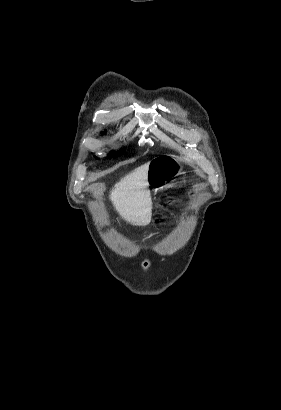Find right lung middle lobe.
<instances>
[{"label": "right lung middle lobe", "mask_w": 281, "mask_h": 410, "mask_svg": "<svg viewBox=\"0 0 281 410\" xmlns=\"http://www.w3.org/2000/svg\"><path fill=\"white\" fill-rule=\"evenodd\" d=\"M117 154H113L112 156H116Z\"/></svg>", "instance_id": "right-lung-middle-lobe-1"}]
</instances>
